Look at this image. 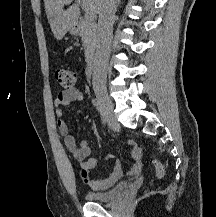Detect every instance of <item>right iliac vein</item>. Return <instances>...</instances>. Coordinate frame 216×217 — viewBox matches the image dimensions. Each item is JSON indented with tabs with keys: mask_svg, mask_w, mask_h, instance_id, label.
Wrapping results in <instances>:
<instances>
[{
	"mask_svg": "<svg viewBox=\"0 0 216 217\" xmlns=\"http://www.w3.org/2000/svg\"><path fill=\"white\" fill-rule=\"evenodd\" d=\"M95 94L97 96V99L102 105L105 117L113 129H118L119 128V123L117 122L114 112H113V104L112 101L110 100L106 90L104 88H96L95 89Z\"/></svg>",
	"mask_w": 216,
	"mask_h": 217,
	"instance_id": "right-iliac-vein-1",
	"label": "right iliac vein"
}]
</instances>
